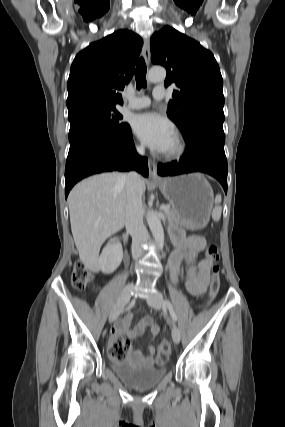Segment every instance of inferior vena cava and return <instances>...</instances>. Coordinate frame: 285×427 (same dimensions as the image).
<instances>
[{
  "instance_id": "obj_1",
  "label": "inferior vena cava",
  "mask_w": 285,
  "mask_h": 427,
  "mask_svg": "<svg viewBox=\"0 0 285 427\" xmlns=\"http://www.w3.org/2000/svg\"><path fill=\"white\" fill-rule=\"evenodd\" d=\"M140 155H144V147L137 148ZM126 181V216L125 226L132 237V256L135 261L143 255L141 245L148 241L149 234L143 223L142 187L141 178L137 172L124 174Z\"/></svg>"
}]
</instances>
